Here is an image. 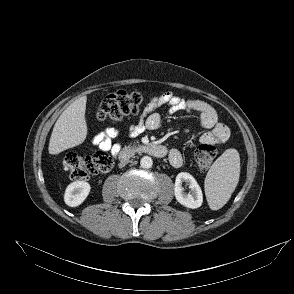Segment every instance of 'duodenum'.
<instances>
[{
	"mask_svg": "<svg viewBox=\"0 0 294 294\" xmlns=\"http://www.w3.org/2000/svg\"><path fill=\"white\" fill-rule=\"evenodd\" d=\"M147 153L157 158H162L166 155L167 149L161 144H142L138 146H128L119 152L118 159L121 163H126L135 153Z\"/></svg>",
	"mask_w": 294,
	"mask_h": 294,
	"instance_id": "duodenum-1",
	"label": "duodenum"
}]
</instances>
